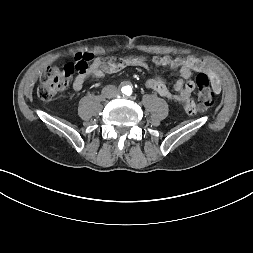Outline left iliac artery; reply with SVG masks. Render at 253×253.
I'll use <instances>...</instances> for the list:
<instances>
[{
	"instance_id": "1",
	"label": "left iliac artery",
	"mask_w": 253,
	"mask_h": 253,
	"mask_svg": "<svg viewBox=\"0 0 253 253\" xmlns=\"http://www.w3.org/2000/svg\"><path fill=\"white\" fill-rule=\"evenodd\" d=\"M131 93H132V90L131 89H127L126 95H131Z\"/></svg>"
}]
</instances>
